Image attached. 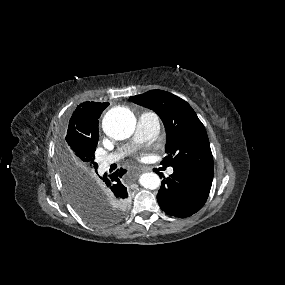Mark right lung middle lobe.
I'll return each instance as SVG.
<instances>
[{
  "label": "right lung middle lobe",
  "mask_w": 285,
  "mask_h": 285,
  "mask_svg": "<svg viewBox=\"0 0 285 285\" xmlns=\"http://www.w3.org/2000/svg\"><path fill=\"white\" fill-rule=\"evenodd\" d=\"M96 147L71 153L65 143L58 148V168L68 199L76 212L86 221L106 226L118 220L125 212V205L102 190L96 183L97 163L94 161Z\"/></svg>",
  "instance_id": "dd1d6c3e"
}]
</instances>
